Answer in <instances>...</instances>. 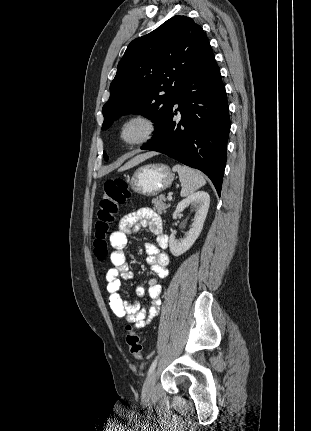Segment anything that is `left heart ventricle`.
Here are the masks:
<instances>
[{
	"mask_svg": "<svg viewBox=\"0 0 311 431\" xmlns=\"http://www.w3.org/2000/svg\"><path fill=\"white\" fill-rule=\"evenodd\" d=\"M147 131L148 125L146 122L140 119H131L122 125L120 134L123 139L133 141L143 137Z\"/></svg>",
	"mask_w": 311,
	"mask_h": 431,
	"instance_id": "left-heart-ventricle-1",
	"label": "left heart ventricle"
}]
</instances>
